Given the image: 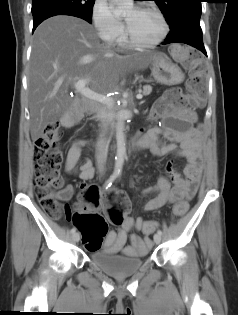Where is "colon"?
Masks as SVG:
<instances>
[{
	"label": "colon",
	"instance_id": "colon-1",
	"mask_svg": "<svg viewBox=\"0 0 238 315\" xmlns=\"http://www.w3.org/2000/svg\"><path fill=\"white\" fill-rule=\"evenodd\" d=\"M170 52L177 61L191 68L189 93L178 88L168 90L154 105L151 112L152 118L161 117L172 107L197 108L204 102L206 69L200 53L180 45L172 46ZM61 136L58 123L51 122L46 125L43 133L35 141V195L46 212L54 215L64 212L69 216L74 226L81 232L84 246L89 250H97L108 230L107 221L96 211L97 207L103 203L109 221L115 225H121L127 218L129 204L122 193L113 191L102 196L97 186L82 185L81 207L78 211L71 213L69 205L60 202L56 197V193L64 185L61 175L63 160ZM187 209L186 202H179L173 206L172 216L181 217ZM157 225L155 221H146L142 231L145 235H151Z\"/></svg>",
	"mask_w": 238,
	"mask_h": 315
}]
</instances>
